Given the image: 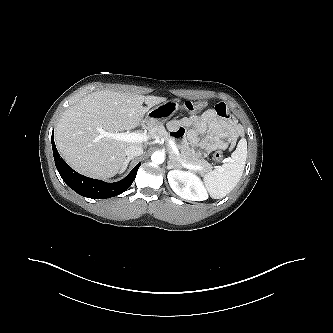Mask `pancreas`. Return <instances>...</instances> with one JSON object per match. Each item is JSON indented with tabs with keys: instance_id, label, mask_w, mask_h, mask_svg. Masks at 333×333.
Returning a JSON list of instances; mask_svg holds the SVG:
<instances>
[{
	"instance_id": "1",
	"label": "pancreas",
	"mask_w": 333,
	"mask_h": 333,
	"mask_svg": "<svg viewBox=\"0 0 333 333\" xmlns=\"http://www.w3.org/2000/svg\"><path fill=\"white\" fill-rule=\"evenodd\" d=\"M148 131L153 138H169L168 132L162 124L152 125L148 128ZM177 148L180 150L178 156L174 153L170 145H168L169 159L173 164H175V166H181L179 162L180 159V161L184 162L185 164L201 166L202 169L199 170L201 174L209 172L212 169V166L208 164L206 160L199 159L195 154H191L190 152L185 151L183 146L177 145Z\"/></svg>"
}]
</instances>
